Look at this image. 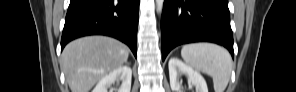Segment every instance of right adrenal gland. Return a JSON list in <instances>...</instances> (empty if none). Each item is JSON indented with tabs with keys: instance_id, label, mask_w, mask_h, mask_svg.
Here are the masks:
<instances>
[{
	"instance_id": "1",
	"label": "right adrenal gland",
	"mask_w": 296,
	"mask_h": 92,
	"mask_svg": "<svg viewBox=\"0 0 296 92\" xmlns=\"http://www.w3.org/2000/svg\"><path fill=\"white\" fill-rule=\"evenodd\" d=\"M125 63H126L127 65H129V63H128L127 61H126Z\"/></svg>"
}]
</instances>
